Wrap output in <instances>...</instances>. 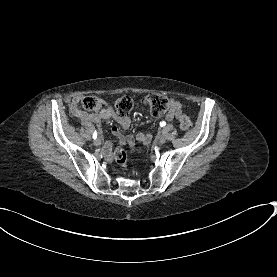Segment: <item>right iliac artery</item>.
I'll use <instances>...</instances> for the list:
<instances>
[{"mask_svg":"<svg viewBox=\"0 0 277 277\" xmlns=\"http://www.w3.org/2000/svg\"><path fill=\"white\" fill-rule=\"evenodd\" d=\"M97 138V132L95 131L94 133H93V139H96Z\"/></svg>","mask_w":277,"mask_h":277,"instance_id":"right-iliac-artery-1","label":"right iliac artery"}]
</instances>
